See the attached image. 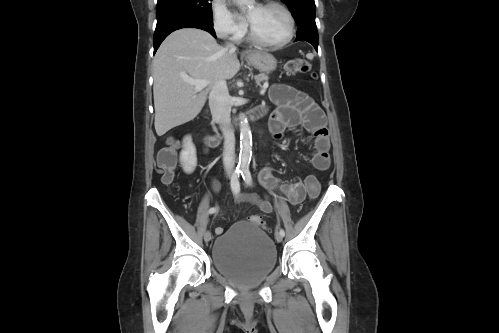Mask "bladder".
<instances>
[{
	"label": "bladder",
	"instance_id": "1",
	"mask_svg": "<svg viewBox=\"0 0 499 333\" xmlns=\"http://www.w3.org/2000/svg\"><path fill=\"white\" fill-rule=\"evenodd\" d=\"M212 263L236 283L251 286L265 279L277 266V250L260 226L238 221L215 241Z\"/></svg>",
	"mask_w": 499,
	"mask_h": 333
}]
</instances>
